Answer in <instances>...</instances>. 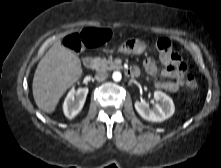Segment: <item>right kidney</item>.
<instances>
[{
	"label": "right kidney",
	"mask_w": 221,
	"mask_h": 168,
	"mask_svg": "<svg viewBox=\"0 0 221 168\" xmlns=\"http://www.w3.org/2000/svg\"><path fill=\"white\" fill-rule=\"evenodd\" d=\"M88 88H79L75 90L72 88L67 94L63 103V111L67 118L73 119L83 108Z\"/></svg>",
	"instance_id": "obj_1"
}]
</instances>
